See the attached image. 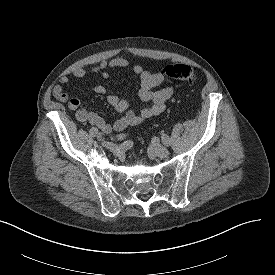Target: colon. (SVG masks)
<instances>
[{"label": "colon", "mask_w": 275, "mask_h": 275, "mask_svg": "<svg viewBox=\"0 0 275 275\" xmlns=\"http://www.w3.org/2000/svg\"><path fill=\"white\" fill-rule=\"evenodd\" d=\"M163 74L168 79L184 81L190 84H198L200 78L196 70L186 64H174L165 67Z\"/></svg>", "instance_id": "colon-1"}]
</instances>
